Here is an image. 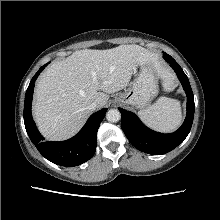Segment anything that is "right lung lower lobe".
<instances>
[{
    "mask_svg": "<svg viewBox=\"0 0 220 220\" xmlns=\"http://www.w3.org/2000/svg\"><path fill=\"white\" fill-rule=\"evenodd\" d=\"M48 65H43L32 78L25 95L24 123L27 134L38 151L54 164L73 167L91 159L96 150L97 131L107 109H102L90 116L84 127L73 138L62 142H45L32 119L31 104L34 82L40 72Z\"/></svg>",
    "mask_w": 220,
    "mask_h": 220,
    "instance_id": "right-lung-lower-lobe-1",
    "label": "right lung lower lobe"
}]
</instances>
